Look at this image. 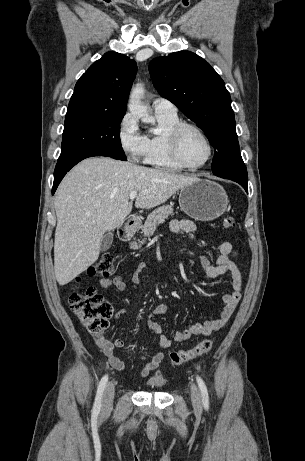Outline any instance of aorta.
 I'll return each mask as SVG.
<instances>
[{"label":"aorta","mask_w":305,"mask_h":461,"mask_svg":"<svg viewBox=\"0 0 305 461\" xmlns=\"http://www.w3.org/2000/svg\"><path fill=\"white\" fill-rule=\"evenodd\" d=\"M144 93L143 85L137 84L131 92L128 108L130 112L141 118L143 122H151V117L147 109L141 103V97Z\"/></svg>","instance_id":"aorta-1"}]
</instances>
